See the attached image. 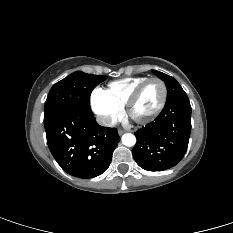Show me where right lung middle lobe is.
<instances>
[{
    "mask_svg": "<svg viewBox=\"0 0 233 233\" xmlns=\"http://www.w3.org/2000/svg\"><path fill=\"white\" fill-rule=\"evenodd\" d=\"M106 79L107 76L77 71L57 82L48 94L44 109V119L68 108L90 107L92 90Z\"/></svg>",
    "mask_w": 233,
    "mask_h": 233,
    "instance_id": "dd1d6c3e",
    "label": "right lung middle lobe"
}]
</instances>
